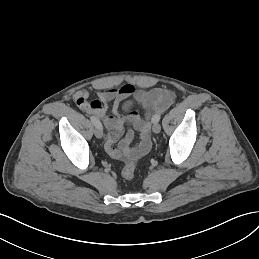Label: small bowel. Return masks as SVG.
I'll use <instances>...</instances> for the list:
<instances>
[{"mask_svg": "<svg viewBox=\"0 0 259 259\" xmlns=\"http://www.w3.org/2000/svg\"><path fill=\"white\" fill-rule=\"evenodd\" d=\"M96 89V99L90 100V94L86 90L77 91L73 99L83 112L101 120L109 130L105 143L107 153L115 159H135L145 155L151 146L152 118L172 104L174 93L161 88L150 91L136 90L131 84L118 88L98 86ZM134 104H139L145 109L146 113L143 117L132 110ZM110 106L112 115L107 114ZM125 124H130L131 129L121 138ZM135 132L139 134V139L137 144L132 146Z\"/></svg>", "mask_w": 259, "mask_h": 259, "instance_id": "obj_1", "label": "small bowel"}]
</instances>
